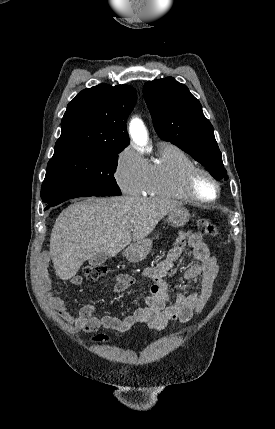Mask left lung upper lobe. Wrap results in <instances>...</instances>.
<instances>
[{"mask_svg": "<svg viewBox=\"0 0 275 429\" xmlns=\"http://www.w3.org/2000/svg\"><path fill=\"white\" fill-rule=\"evenodd\" d=\"M144 97L158 136L190 154L217 180L228 178L213 127L186 85L173 77L148 81Z\"/></svg>", "mask_w": 275, "mask_h": 429, "instance_id": "1", "label": "left lung upper lobe"}]
</instances>
